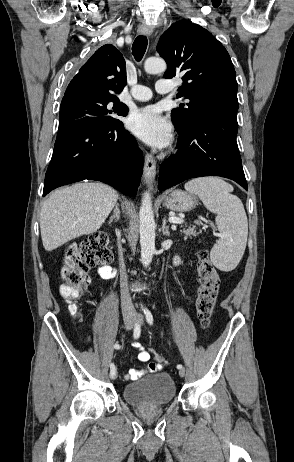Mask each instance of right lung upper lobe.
<instances>
[{"mask_svg":"<svg viewBox=\"0 0 294 462\" xmlns=\"http://www.w3.org/2000/svg\"><path fill=\"white\" fill-rule=\"evenodd\" d=\"M125 85V60L119 50L111 44H106L80 68L68 85L63 98L77 94L116 97Z\"/></svg>","mask_w":294,"mask_h":462,"instance_id":"right-lung-upper-lobe-1","label":"right lung upper lobe"}]
</instances>
